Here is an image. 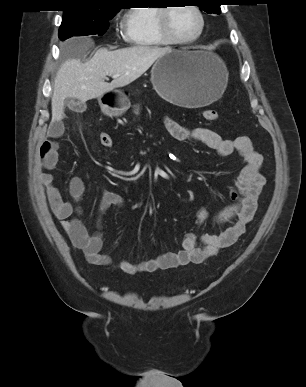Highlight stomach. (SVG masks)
I'll use <instances>...</instances> for the list:
<instances>
[{
  "label": "stomach",
  "instance_id": "0dacf381",
  "mask_svg": "<svg viewBox=\"0 0 306 387\" xmlns=\"http://www.w3.org/2000/svg\"><path fill=\"white\" fill-rule=\"evenodd\" d=\"M151 82L166 101L186 108H198L217 100L226 89L228 72L222 60L202 50H171L157 59ZM102 112L122 115L130 101L123 91L113 89L98 98Z\"/></svg>",
  "mask_w": 306,
  "mask_h": 387
}]
</instances>
